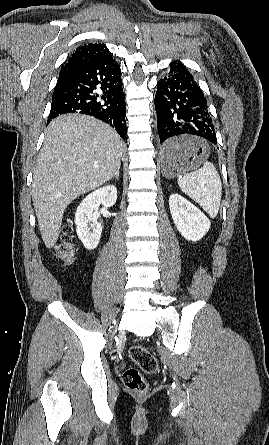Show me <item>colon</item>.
<instances>
[{"label":"colon","mask_w":269,"mask_h":445,"mask_svg":"<svg viewBox=\"0 0 269 445\" xmlns=\"http://www.w3.org/2000/svg\"><path fill=\"white\" fill-rule=\"evenodd\" d=\"M71 223H67L63 228L61 242L56 248L57 256L64 262H69L73 256L71 245ZM129 357L137 366L128 368L123 373V383L131 391L144 394L148 390V383L143 375L154 374L158 370L156 357L144 346L135 345L129 349Z\"/></svg>","instance_id":"colon-1"}]
</instances>
